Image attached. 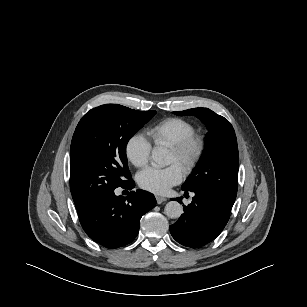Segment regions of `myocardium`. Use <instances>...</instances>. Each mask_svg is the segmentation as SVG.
<instances>
[{
    "label": "myocardium",
    "mask_w": 307,
    "mask_h": 307,
    "mask_svg": "<svg viewBox=\"0 0 307 307\" xmlns=\"http://www.w3.org/2000/svg\"><path fill=\"white\" fill-rule=\"evenodd\" d=\"M206 149V141L202 135L192 134L170 147L181 168L186 173L192 172L201 161Z\"/></svg>",
    "instance_id": "1"
}]
</instances>
